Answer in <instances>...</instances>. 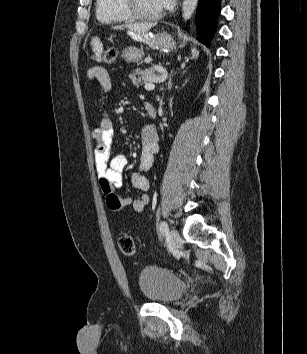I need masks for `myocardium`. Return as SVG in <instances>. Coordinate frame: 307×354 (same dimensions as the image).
<instances>
[{
    "instance_id": "1",
    "label": "myocardium",
    "mask_w": 307,
    "mask_h": 354,
    "mask_svg": "<svg viewBox=\"0 0 307 354\" xmlns=\"http://www.w3.org/2000/svg\"><path fill=\"white\" fill-rule=\"evenodd\" d=\"M124 11L132 18L137 20L152 21L161 17L162 12L146 14L139 10L136 0H121Z\"/></svg>"
}]
</instances>
